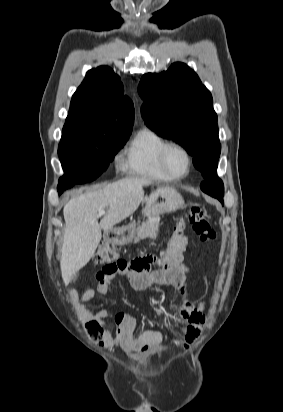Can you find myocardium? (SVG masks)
I'll use <instances>...</instances> for the list:
<instances>
[{"instance_id":"myocardium-1","label":"myocardium","mask_w":283,"mask_h":412,"mask_svg":"<svg viewBox=\"0 0 283 412\" xmlns=\"http://www.w3.org/2000/svg\"><path fill=\"white\" fill-rule=\"evenodd\" d=\"M178 149L182 151L188 161L187 170L183 174H176L172 172L167 164V158L171 150ZM159 166L162 172L170 179H182L188 176L193 168V156L190 150L181 143L178 142H168L161 150L159 155Z\"/></svg>"}]
</instances>
